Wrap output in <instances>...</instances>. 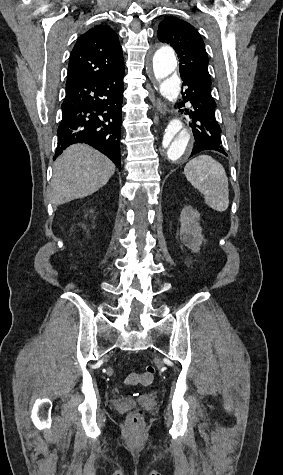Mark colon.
I'll list each match as a JSON object with an SVG mask.
<instances>
[{"label": "colon", "mask_w": 283, "mask_h": 475, "mask_svg": "<svg viewBox=\"0 0 283 475\" xmlns=\"http://www.w3.org/2000/svg\"><path fill=\"white\" fill-rule=\"evenodd\" d=\"M156 373V368L153 365H147L145 368L144 376L148 379H151ZM143 412L142 410H137L133 415L130 416V422L137 423L142 418Z\"/></svg>", "instance_id": "obj_1"}]
</instances>
